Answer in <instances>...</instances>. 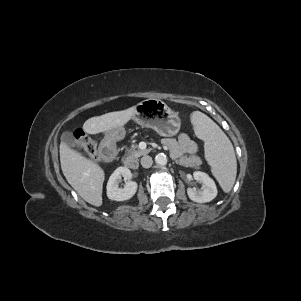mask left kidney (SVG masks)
Listing matches in <instances>:
<instances>
[{
  "instance_id": "1",
  "label": "left kidney",
  "mask_w": 301,
  "mask_h": 301,
  "mask_svg": "<svg viewBox=\"0 0 301 301\" xmlns=\"http://www.w3.org/2000/svg\"><path fill=\"white\" fill-rule=\"evenodd\" d=\"M193 177L196 181L203 183V186L199 190H196L195 188H188L187 194L189 198L198 203L212 201L217 196V188L214 180L206 173L200 171L194 172Z\"/></svg>"
}]
</instances>
